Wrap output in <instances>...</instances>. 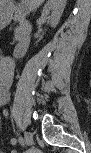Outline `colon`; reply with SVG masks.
<instances>
[{
    "instance_id": "5ec220e1",
    "label": "colon",
    "mask_w": 91,
    "mask_h": 153,
    "mask_svg": "<svg viewBox=\"0 0 91 153\" xmlns=\"http://www.w3.org/2000/svg\"><path fill=\"white\" fill-rule=\"evenodd\" d=\"M35 151L34 150H32V149H29L28 151H27V153H34Z\"/></svg>"
}]
</instances>
